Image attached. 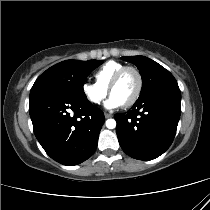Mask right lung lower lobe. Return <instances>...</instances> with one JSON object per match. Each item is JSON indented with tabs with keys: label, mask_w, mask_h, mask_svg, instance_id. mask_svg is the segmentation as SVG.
<instances>
[{
	"label": "right lung lower lobe",
	"mask_w": 210,
	"mask_h": 210,
	"mask_svg": "<svg viewBox=\"0 0 210 210\" xmlns=\"http://www.w3.org/2000/svg\"><path fill=\"white\" fill-rule=\"evenodd\" d=\"M29 112L36 138L55 161L73 166L95 152L104 114L87 98L41 94L30 98Z\"/></svg>",
	"instance_id": "1"
}]
</instances>
